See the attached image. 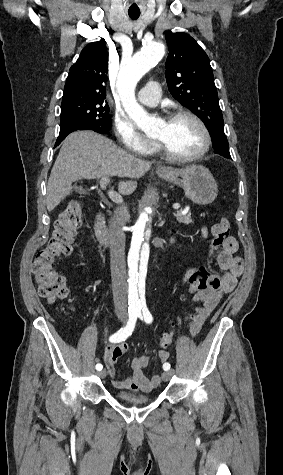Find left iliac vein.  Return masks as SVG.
<instances>
[{"label": "left iliac vein", "mask_w": 283, "mask_h": 475, "mask_svg": "<svg viewBox=\"0 0 283 475\" xmlns=\"http://www.w3.org/2000/svg\"><path fill=\"white\" fill-rule=\"evenodd\" d=\"M173 374H174V371H173V370L163 372V373H162V379H163V381H168V380L171 378V376H172Z\"/></svg>", "instance_id": "obj_1"}]
</instances>
